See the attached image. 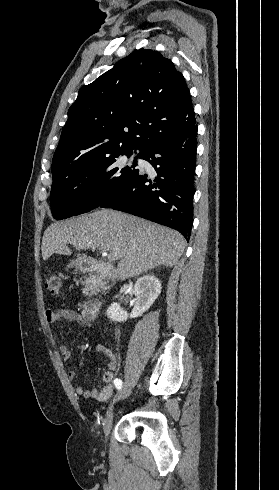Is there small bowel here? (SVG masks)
Listing matches in <instances>:
<instances>
[{
    "label": "small bowel",
    "instance_id": "small-bowel-1",
    "mask_svg": "<svg viewBox=\"0 0 279 490\" xmlns=\"http://www.w3.org/2000/svg\"><path fill=\"white\" fill-rule=\"evenodd\" d=\"M45 320L48 324H54L61 321L91 327L89 321L83 315L71 309H47L45 312ZM59 351L62 359L69 360L71 358V350L66 345H61ZM96 351L109 358L108 370L103 374L102 380L104 386L102 388L85 389L78 385L75 388L77 395L83 396L86 399H94L104 401L111 396L114 390L115 370L118 366V357L112 349L103 345L97 344ZM77 377V365H74L68 372V378L75 380Z\"/></svg>",
    "mask_w": 279,
    "mask_h": 490
}]
</instances>
